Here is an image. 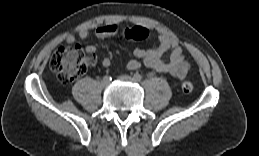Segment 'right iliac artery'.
Listing matches in <instances>:
<instances>
[{
	"instance_id": "1",
	"label": "right iliac artery",
	"mask_w": 259,
	"mask_h": 156,
	"mask_svg": "<svg viewBox=\"0 0 259 156\" xmlns=\"http://www.w3.org/2000/svg\"><path fill=\"white\" fill-rule=\"evenodd\" d=\"M103 79L111 81V77H110V76H108V75L104 76V78H103Z\"/></svg>"
}]
</instances>
